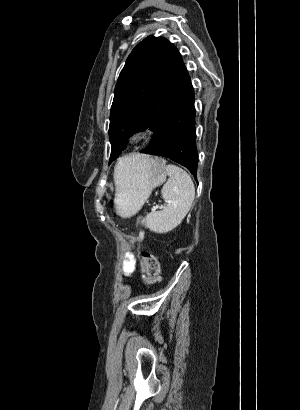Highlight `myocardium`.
<instances>
[{"mask_svg": "<svg viewBox=\"0 0 300 410\" xmlns=\"http://www.w3.org/2000/svg\"><path fill=\"white\" fill-rule=\"evenodd\" d=\"M152 139V132L148 129H140L132 132L127 141L131 145H141L149 142Z\"/></svg>", "mask_w": 300, "mask_h": 410, "instance_id": "obj_1", "label": "myocardium"}]
</instances>
